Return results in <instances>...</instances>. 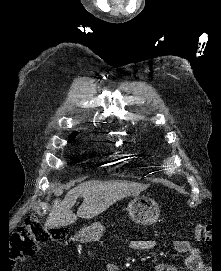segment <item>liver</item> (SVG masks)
<instances>
[{
  "mask_svg": "<svg viewBox=\"0 0 221 271\" xmlns=\"http://www.w3.org/2000/svg\"><path fill=\"white\" fill-rule=\"evenodd\" d=\"M129 183H109V181H85L80 183L74 189H71L64 199H53V207L47 217V227H61V225H70L74 223L77 217L91 219L106 211L110 205H113L118 199L126 197L129 193ZM78 195L84 197L76 213L71 211Z\"/></svg>",
  "mask_w": 221,
  "mask_h": 271,
  "instance_id": "liver-1",
  "label": "liver"
}]
</instances>
